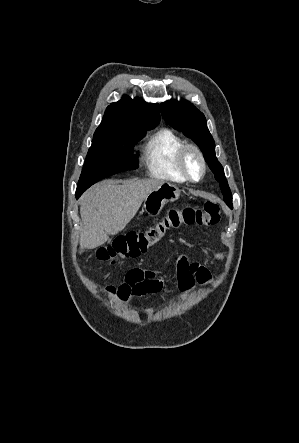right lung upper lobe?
I'll list each match as a JSON object with an SVG mask.
<instances>
[{
    "instance_id": "right-lung-upper-lobe-1",
    "label": "right lung upper lobe",
    "mask_w": 299,
    "mask_h": 443,
    "mask_svg": "<svg viewBox=\"0 0 299 443\" xmlns=\"http://www.w3.org/2000/svg\"><path fill=\"white\" fill-rule=\"evenodd\" d=\"M159 121L158 104H149L139 98L132 100L124 95L120 101L108 106L94 136L118 131L137 130L145 125H158Z\"/></svg>"
}]
</instances>
